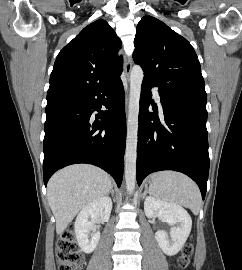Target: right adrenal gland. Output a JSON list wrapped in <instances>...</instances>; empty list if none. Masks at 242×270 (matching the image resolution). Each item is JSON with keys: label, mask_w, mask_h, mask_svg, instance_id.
Masks as SVG:
<instances>
[{"label": "right adrenal gland", "mask_w": 242, "mask_h": 270, "mask_svg": "<svg viewBox=\"0 0 242 270\" xmlns=\"http://www.w3.org/2000/svg\"><path fill=\"white\" fill-rule=\"evenodd\" d=\"M109 193H111V195L114 196V190H113V188H111V190H110Z\"/></svg>", "instance_id": "obj_1"}]
</instances>
